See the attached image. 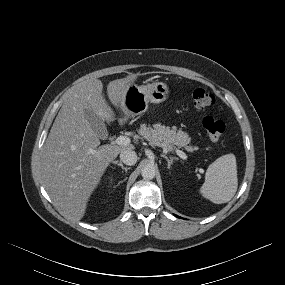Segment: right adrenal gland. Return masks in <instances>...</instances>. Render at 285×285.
<instances>
[{
    "label": "right adrenal gland",
    "mask_w": 285,
    "mask_h": 285,
    "mask_svg": "<svg viewBox=\"0 0 285 285\" xmlns=\"http://www.w3.org/2000/svg\"><path fill=\"white\" fill-rule=\"evenodd\" d=\"M114 164H116L117 166H120L123 170H125V172H127V170L130 169V167H125L121 162L119 161H114Z\"/></svg>",
    "instance_id": "right-adrenal-gland-1"
}]
</instances>
